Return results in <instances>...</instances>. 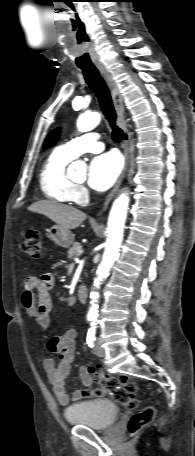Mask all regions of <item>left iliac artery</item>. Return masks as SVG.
I'll list each match as a JSON object with an SVG mask.
<instances>
[{
	"mask_svg": "<svg viewBox=\"0 0 195 456\" xmlns=\"http://www.w3.org/2000/svg\"><path fill=\"white\" fill-rule=\"evenodd\" d=\"M95 334H96V328L92 324V326L89 328L88 334H87V344L91 348H93L95 345V340H96Z\"/></svg>",
	"mask_w": 195,
	"mask_h": 456,
	"instance_id": "44dca946",
	"label": "left iliac artery"
}]
</instances>
